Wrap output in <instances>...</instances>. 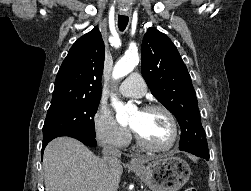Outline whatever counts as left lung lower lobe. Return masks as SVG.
Returning a JSON list of instances; mask_svg holds the SVG:
<instances>
[{"label": "left lung lower lobe", "instance_id": "obj_1", "mask_svg": "<svg viewBox=\"0 0 251 191\" xmlns=\"http://www.w3.org/2000/svg\"><path fill=\"white\" fill-rule=\"evenodd\" d=\"M187 152H190V153L195 154V155H197L199 157H202V156L198 155L195 151H187ZM202 158H204L206 160H209V157H202Z\"/></svg>", "mask_w": 251, "mask_h": 191}]
</instances>
